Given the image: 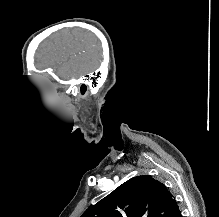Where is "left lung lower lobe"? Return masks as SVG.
Listing matches in <instances>:
<instances>
[{
    "instance_id": "obj_1",
    "label": "left lung lower lobe",
    "mask_w": 219,
    "mask_h": 217,
    "mask_svg": "<svg viewBox=\"0 0 219 217\" xmlns=\"http://www.w3.org/2000/svg\"><path fill=\"white\" fill-rule=\"evenodd\" d=\"M176 217H182L181 212Z\"/></svg>"
}]
</instances>
